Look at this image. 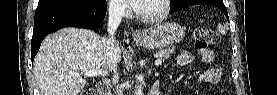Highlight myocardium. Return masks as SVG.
<instances>
[{
  "mask_svg": "<svg viewBox=\"0 0 277 95\" xmlns=\"http://www.w3.org/2000/svg\"><path fill=\"white\" fill-rule=\"evenodd\" d=\"M163 4V9L161 11V13H159L158 15L155 16H143L140 14V12L138 11L137 8H133V13L135 15V17L147 24H155L158 23L160 21H162L163 19H165L167 17V15L170 12L171 9V1L170 0H160Z\"/></svg>",
  "mask_w": 277,
  "mask_h": 95,
  "instance_id": "obj_1",
  "label": "myocardium"
}]
</instances>
